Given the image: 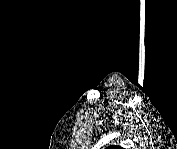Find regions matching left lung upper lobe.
I'll return each instance as SVG.
<instances>
[{
    "instance_id": "5c2ea615",
    "label": "left lung upper lobe",
    "mask_w": 177,
    "mask_h": 149,
    "mask_svg": "<svg viewBox=\"0 0 177 149\" xmlns=\"http://www.w3.org/2000/svg\"><path fill=\"white\" fill-rule=\"evenodd\" d=\"M107 149H122L120 146H110Z\"/></svg>"
}]
</instances>
